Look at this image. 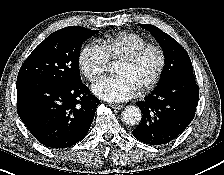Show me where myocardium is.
Instances as JSON below:
<instances>
[{
    "label": "myocardium",
    "instance_id": "obj_1",
    "mask_svg": "<svg viewBox=\"0 0 224 175\" xmlns=\"http://www.w3.org/2000/svg\"><path fill=\"white\" fill-rule=\"evenodd\" d=\"M148 51H155L158 54V58H159L158 66H157V69H156L154 75L152 76V78L147 83H145L142 86H140L139 88H137V90L139 92H146V91L151 90L152 88H154L157 85V83L161 79L162 74H163L164 69H165V66H166V53H165V51L159 45L146 44V45L138 48L137 50L133 51L128 56L119 60V62H121L123 64L132 66L136 62H138V60Z\"/></svg>",
    "mask_w": 224,
    "mask_h": 175
}]
</instances>
